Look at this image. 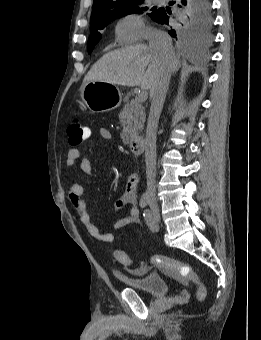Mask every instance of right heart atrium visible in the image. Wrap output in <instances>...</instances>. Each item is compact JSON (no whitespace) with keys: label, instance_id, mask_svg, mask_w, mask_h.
I'll return each instance as SVG.
<instances>
[{"label":"right heart atrium","instance_id":"d8ad5b80","mask_svg":"<svg viewBox=\"0 0 261 340\" xmlns=\"http://www.w3.org/2000/svg\"><path fill=\"white\" fill-rule=\"evenodd\" d=\"M115 30L119 40L124 43L138 42L153 34L151 28L136 13L122 16L117 21Z\"/></svg>","mask_w":261,"mask_h":340}]
</instances>
